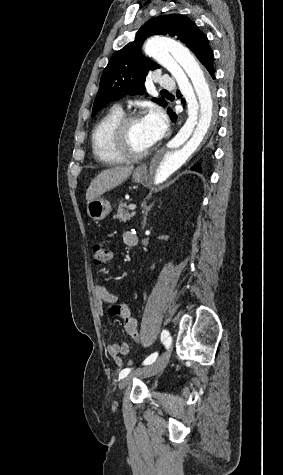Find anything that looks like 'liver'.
I'll return each mask as SVG.
<instances>
[{
	"instance_id": "6515ba94",
	"label": "liver",
	"mask_w": 283,
	"mask_h": 475,
	"mask_svg": "<svg viewBox=\"0 0 283 475\" xmlns=\"http://www.w3.org/2000/svg\"><path fill=\"white\" fill-rule=\"evenodd\" d=\"M134 166H116V168H109V170H103L97 178L92 180L87 192V202H92L95 198H99L105 192L113 190L122 182H125L129 178Z\"/></svg>"
}]
</instances>
